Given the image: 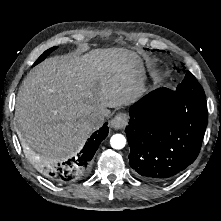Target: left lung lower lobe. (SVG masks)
Instances as JSON below:
<instances>
[{
  "label": "left lung lower lobe",
  "instance_id": "1",
  "mask_svg": "<svg viewBox=\"0 0 221 221\" xmlns=\"http://www.w3.org/2000/svg\"><path fill=\"white\" fill-rule=\"evenodd\" d=\"M129 114V164L138 177L167 181L197 158L208 120L206 99L159 88L132 105Z\"/></svg>",
  "mask_w": 221,
  "mask_h": 221
}]
</instances>
